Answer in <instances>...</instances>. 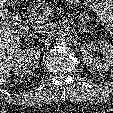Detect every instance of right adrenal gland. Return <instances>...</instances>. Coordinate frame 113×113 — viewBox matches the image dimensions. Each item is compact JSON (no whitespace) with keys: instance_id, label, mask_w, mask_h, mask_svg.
Here are the masks:
<instances>
[{"instance_id":"obj_1","label":"right adrenal gland","mask_w":113,"mask_h":113,"mask_svg":"<svg viewBox=\"0 0 113 113\" xmlns=\"http://www.w3.org/2000/svg\"><path fill=\"white\" fill-rule=\"evenodd\" d=\"M31 37H33V38H34V37L37 38V35L33 34V35H31Z\"/></svg>"}]
</instances>
